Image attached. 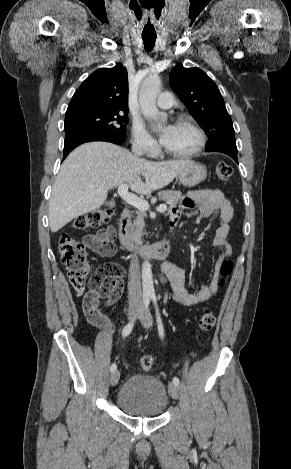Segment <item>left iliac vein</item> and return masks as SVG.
<instances>
[{"mask_svg":"<svg viewBox=\"0 0 291 469\" xmlns=\"http://www.w3.org/2000/svg\"><path fill=\"white\" fill-rule=\"evenodd\" d=\"M139 319L144 326V328L149 329L152 326V316L148 309L144 312H141L139 315ZM169 393L172 398L178 399L179 398V387L174 383H169Z\"/></svg>","mask_w":291,"mask_h":469,"instance_id":"1","label":"left iliac vein"}]
</instances>
